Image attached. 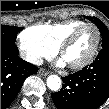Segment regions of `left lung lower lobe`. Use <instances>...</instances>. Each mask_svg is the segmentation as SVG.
<instances>
[{
    "label": "left lung lower lobe",
    "instance_id": "1",
    "mask_svg": "<svg viewBox=\"0 0 109 109\" xmlns=\"http://www.w3.org/2000/svg\"><path fill=\"white\" fill-rule=\"evenodd\" d=\"M62 80V89L51 95L58 109L99 108L109 98V46L89 66Z\"/></svg>",
    "mask_w": 109,
    "mask_h": 109
}]
</instances>
